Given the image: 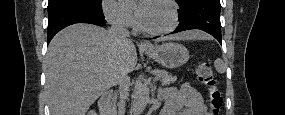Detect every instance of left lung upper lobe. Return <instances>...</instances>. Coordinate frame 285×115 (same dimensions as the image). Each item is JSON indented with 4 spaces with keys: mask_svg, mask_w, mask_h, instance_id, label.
I'll use <instances>...</instances> for the list:
<instances>
[{
    "mask_svg": "<svg viewBox=\"0 0 285 115\" xmlns=\"http://www.w3.org/2000/svg\"><path fill=\"white\" fill-rule=\"evenodd\" d=\"M190 0H176L180 8H182L185 4H187Z\"/></svg>",
    "mask_w": 285,
    "mask_h": 115,
    "instance_id": "left-lung-upper-lobe-1",
    "label": "left lung upper lobe"
}]
</instances>
